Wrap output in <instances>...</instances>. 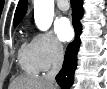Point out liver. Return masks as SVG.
Here are the masks:
<instances>
[{
    "label": "liver",
    "mask_w": 107,
    "mask_h": 89,
    "mask_svg": "<svg viewBox=\"0 0 107 89\" xmlns=\"http://www.w3.org/2000/svg\"><path fill=\"white\" fill-rule=\"evenodd\" d=\"M9 89H56L45 76L20 75L10 84Z\"/></svg>",
    "instance_id": "liver-1"
}]
</instances>
